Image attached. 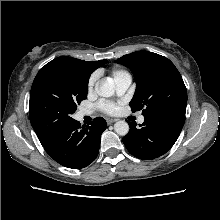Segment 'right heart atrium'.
Returning a JSON list of instances; mask_svg holds the SVG:
<instances>
[{
  "label": "right heart atrium",
  "instance_id": "right-heart-atrium-1",
  "mask_svg": "<svg viewBox=\"0 0 220 220\" xmlns=\"http://www.w3.org/2000/svg\"><path fill=\"white\" fill-rule=\"evenodd\" d=\"M94 82H95V78L94 77L90 78V80L88 82V90H92V88L94 86Z\"/></svg>",
  "mask_w": 220,
  "mask_h": 220
}]
</instances>
